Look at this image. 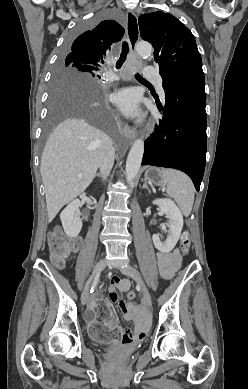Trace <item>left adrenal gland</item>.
I'll return each mask as SVG.
<instances>
[{
	"label": "left adrenal gland",
	"instance_id": "left-adrenal-gland-1",
	"mask_svg": "<svg viewBox=\"0 0 248 389\" xmlns=\"http://www.w3.org/2000/svg\"><path fill=\"white\" fill-rule=\"evenodd\" d=\"M142 188L147 189L150 192V188L147 185L146 179H144V184H143Z\"/></svg>",
	"mask_w": 248,
	"mask_h": 389
}]
</instances>
